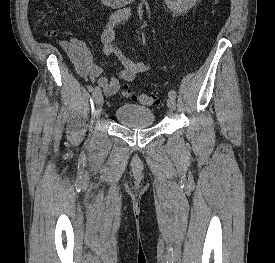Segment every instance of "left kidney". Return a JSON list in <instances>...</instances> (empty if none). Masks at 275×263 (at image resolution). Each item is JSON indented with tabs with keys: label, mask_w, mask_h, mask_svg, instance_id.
Masks as SVG:
<instances>
[{
	"label": "left kidney",
	"mask_w": 275,
	"mask_h": 263,
	"mask_svg": "<svg viewBox=\"0 0 275 263\" xmlns=\"http://www.w3.org/2000/svg\"><path fill=\"white\" fill-rule=\"evenodd\" d=\"M167 7L175 14L186 13L197 0H164Z\"/></svg>",
	"instance_id": "1"
}]
</instances>
